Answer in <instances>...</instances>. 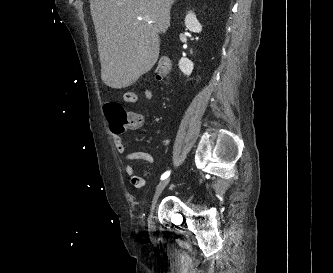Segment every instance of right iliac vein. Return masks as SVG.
Returning a JSON list of instances; mask_svg holds the SVG:
<instances>
[{
  "label": "right iliac vein",
  "mask_w": 333,
  "mask_h": 273,
  "mask_svg": "<svg viewBox=\"0 0 333 273\" xmlns=\"http://www.w3.org/2000/svg\"><path fill=\"white\" fill-rule=\"evenodd\" d=\"M169 182H170V178H166L163 181H161L156 187V190L153 195L152 202H151L150 213L148 216V229L150 232H153L155 230V223L153 220V210L155 208V204L157 202L158 197L160 196L162 191L166 188V186L169 184Z\"/></svg>",
  "instance_id": "obj_1"
}]
</instances>
